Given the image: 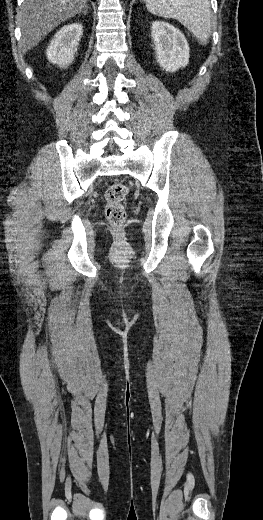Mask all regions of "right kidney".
I'll list each match as a JSON object with an SVG mask.
<instances>
[{
    "mask_svg": "<svg viewBox=\"0 0 263 520\" xmlns=\"http://www.w3.org/2000/svg\"><path fill=\"white\" fill-rule=\"evenodd\" d=\"M82 34L83 26L79 22L62 27L47 48L49 62L57 64L60 68L69 66L74 60Z\"/></svg>",
    "mask_w": 263,
    "mask_h": 520,
    "instance_id": "right-kidney-1",
    "label": "right kidney"
}]
</instances>
